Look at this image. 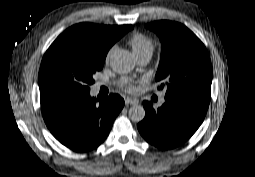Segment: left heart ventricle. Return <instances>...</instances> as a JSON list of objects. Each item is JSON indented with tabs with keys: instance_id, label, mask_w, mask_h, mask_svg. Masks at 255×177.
<instances>
[{
	"instance_id": "b2bd125f",
	"label": "left heart ventricle",
	"mask_w": 255,
	"mask_h": 177,
	"mask_svg": "<svg viewBox=\"0 0 255 177\" xmlns=\"http://www.w3.org/2000/svg\"><path fill=\"white\" fill-rule=\"evenodd\" d=\"M138 75V70H137V68H135L130 74H129V76L131 77V78H134V77H136Z\"/></svg>"
}]
</instances>
